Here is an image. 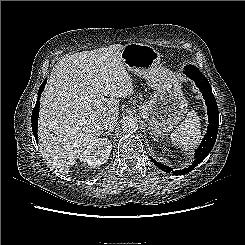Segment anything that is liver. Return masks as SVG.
Returning a JSON list of instances; mask_svg holds the SVG:
<instances>
[{
  "label": "liver",
  "mask_w": 245,
  "mask_h": 245,
  "mask_svg": "<svg viewBox=\"0 0 245 245\" xmlns=\"http://www.w3.org/2000/svg\"><path fill=\"white\" fill-rule=\"evenodd\" d=\"M113 44L64 57L51 71L41 98L39 141L48 165L67 175L86 146L103 135L102 120L119 115V98L133 92Z\"/></svg>",
  "instance_id": "liver-1"
}]
</instances>
